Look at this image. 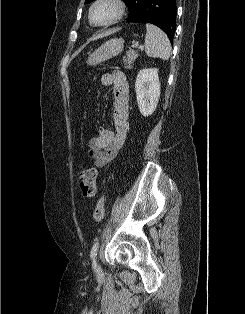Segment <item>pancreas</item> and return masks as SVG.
<instances>
[{"label":"pancreas","mask_w":245,"mask_h":314,"mask_svg":"<svg viewBox=\"0 0 245 314\" xmlns=\"http://www.w3.org/2000/svg\"><path fill=\"white\" fill-rule=\"evenodd\" d=\"M137 57L138 54L135 51H127L126 56L123 58L125 67L127 69H132V64Z\"/></svg>","instance_id":"pancreas-1"}]
</instances>
